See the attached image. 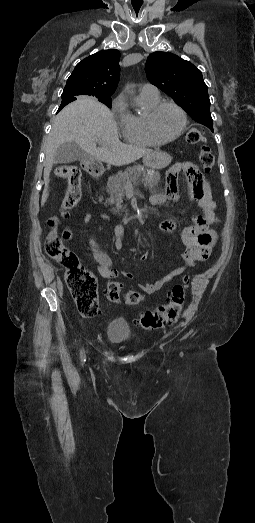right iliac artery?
Here are the masks:
<instances>
[{"label":"right iliac artery","mask_w":255,"mask_h":523,"mask_svg":"<svg viewBox=\"0 0 255 523\" xmlns=\"http://www.w3.org/2000/svg\"><path fill=\"white\" fill-rule=\"evenodd\" d=\"M81 361L84 362L85 361V353H84V350L81 349Z\"/></svg>","instance_id":"right-iliac-artery-1"}]
</instances>
